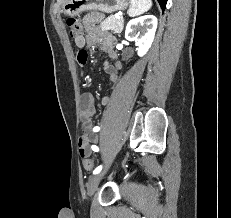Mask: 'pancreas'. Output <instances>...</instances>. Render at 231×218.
Here are the masks:
<instances>
[{
    "label": "pancreas",
    "mask_w": 231,
    "mask_h": 218,
    "mask_svg": "<svg viewBox=\"0 0 231 218\" xmlns=\"http://www.w3.org/2000/svg\"><path fill=\"white\" fill-rule=\"evenodd\" d=\"M123 25H124V20L122 17L118 19L116 18L115 15H111L107 19H105L103 22H101L99 27L103 31L112 30L115 33L119 34L121 33L123 29Z\"/></svg>",
    "instance_id": "1"
}]
</instances>
